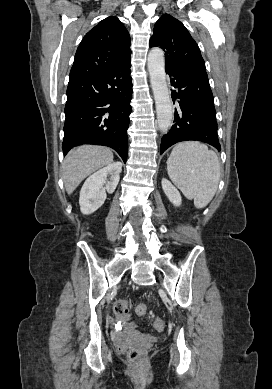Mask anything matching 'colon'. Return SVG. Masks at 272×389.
I'll use <instances>...</instances> for the list:
<instances>
[{
    "label": "colon",
    "instance_id": "5ec220e1",
    "mask_svg": "<svg viewBox=\"0 0 272 389\" xmlns=\"http://www.w3.org/2000/svg\"><path fill=\"white\" fill-rule=\"evenodd\" d=\"M131 310V303L125 299L117 300L113 306L115 316L123 322H126L130 319ZM134 310L139 316H146L148 314V307L144 303H137L134 306ZM153 325L155 329L159 331L163 330L165 327L164 321L160 318H155L153 320ZM149 346V344L145 343L132 347L127 354L128 360L133 364H141L145 360Z\"/></svg>",
    "mask_w": 272,
    "mask_h": 389
}]
</instances>
